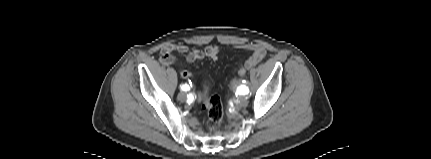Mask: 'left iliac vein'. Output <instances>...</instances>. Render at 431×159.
Instances as JSON below:
<instances>
[{"label":"left iliac vein","instance_id":"obj_1","mask_svg":"<svg viewBox=\"0 0 431 159\" xmlns=\"http://www.w3.org/2000/svg\"><path fill=\"white\" fill-rule=\"evenodd\" d=\"M240 100H241V104L242 105H246L247 104V98L246 97L242 96Z\"/></svg>","mask_w":431,"mask_h":159}]
</instances>
